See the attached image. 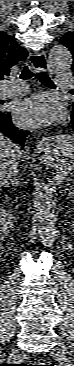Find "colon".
Wrapping results in <instances>:
<instances>
[{
  "instance_id": "obj_1",
  "label": "colon",
  "mask_w": 74,
  "mask_h": 366,
  "mask_svg": "<svg viewBox=\"0 0 74 366\" xmlns=\"http://www.w3.org/2000/svg\"><path fill=\"white\" fill-rule=\"evenodd\" d=\"M32 366H51L50 364L48 363H45V362H36L34 365Z\"/></svg>"
}]
</instances>
